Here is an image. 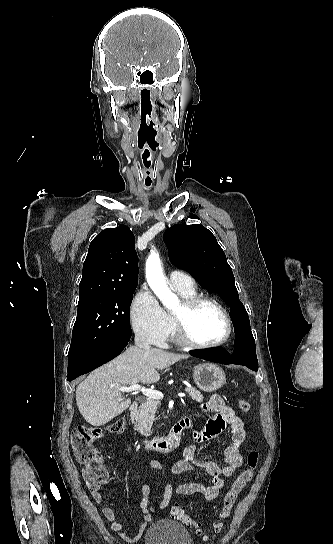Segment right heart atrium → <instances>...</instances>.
<instances>
[{"label":"right heart atrium","instance_id":"obj_1","mask_svg":"<svg viewBox=\"0 0 333 544\" xmlns=\"http://www.w3.org/2000/svg\"><path fill=\"white\" fill-rule=\"evenodd\" d=\"M130 321L138 337L156 346H163L171 334L169 315L147 288L141 289L134 296L130 306Z\"/></svg>","mask_w":333,"mask_h":544}]
</instances>
